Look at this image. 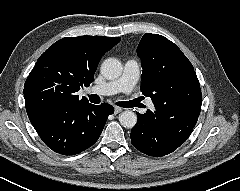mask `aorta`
Returning <instances> with one entry per match:
<instances>
[{"label": "aorta", "instance_id": "obj_1", "mask_svg": "<svg viewBox=\"0 0 240 191\" xmlns=\"http://www.w3.org/2000/svg\"><path fill=\"white\" fill-rule=\"evenodd\" d=\"M100 71L106 79L114 80L121 76L123 66L118 59L108 58L103 61ZM119 121L123 127L133 128L137 123V115L130 110H126L119 115Z\"/></svg>", "mask_w": 240, "mask_h": 191}]
</instances>
